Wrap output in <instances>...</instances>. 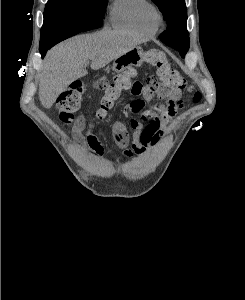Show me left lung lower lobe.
Returning <instances> with one entry per match:
<instances>
[{
	"instance_id": "1",
	"label": "left lung lower lobe",
	"mask_w": 245,
	"mask_h": 300,
	"mask_svg": "<svg viewBox=\"0 0 245 300\" xmlns=\"http://www.w3.org/2000/svg\"><path fill=\"white\" fill-rule=\"evenodd\" d=\"M177 49L181 51V49H180L179 47H177ZM181 54H182L183 56H185L186 53L183 52V51H181Z\"/></svg>"
}]
</instances>
